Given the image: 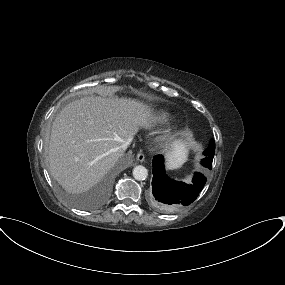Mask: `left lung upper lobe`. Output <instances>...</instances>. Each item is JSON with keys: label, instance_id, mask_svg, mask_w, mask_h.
Instances as JSON below:
<instances>
[{"label": "left lung upper lobe", "instance_id": "1", "mask_svg": "<svg viewBox=\"0 0 285 285\" xmlns=\"http://www.w3.org/2000/svg\"><path fill=\"white\" fill-rule=\"evenodd\" d=\"M215 153V142L211 140L209 147L204 151L205 158L201 164L207 168H212V161Z\"/></svg>", "mask_w": 285, "mask_h": 285}]
</instances>
